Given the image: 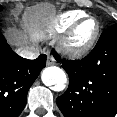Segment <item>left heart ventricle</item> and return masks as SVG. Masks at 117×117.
<instances>
[{"instance_id":"left-heart-ventricle-1","label":"left heart ventricle","mask_w":117,"mask_h":117,"mask_svg":"<svg viewBox=\"0 0 117 117\" xmlns=\"http://www.w3.org/2000/svg\"><path fill=\"white\" fill-rule=\"evenodd\" d=\"M95 23L91 20L85 22L77 32V39L83 41L87 39L94 31Z\"/></svg>"}]
</instances>
